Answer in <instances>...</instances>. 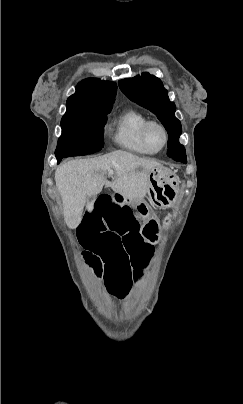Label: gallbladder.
<instances>
[{
  "mask_svg": "<svg viewBox=\"0 0 243 404\" xmlns=\"http://www.w3.org/2000/svg\"><path fill=\"white\" fill-rule=\"evenodd\" d=\"M96 198H97V196H91V198H88L87 204H92V202H94V200H96ZM88 209H91V208H88Z\"/></svg>",
  "mask_w": 243,
  "mask_h": 404,
  "instance_id": "gallbladder-1",
  "label": "gallbladder"
}]
</instances>
